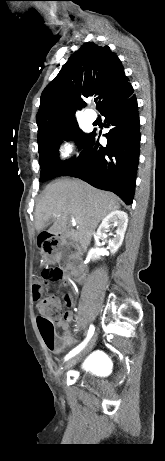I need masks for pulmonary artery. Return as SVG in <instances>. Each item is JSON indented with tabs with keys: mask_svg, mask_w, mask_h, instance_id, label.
<instances>
[{
	"mask_svg": "<svg viewBox=\"0 0 165 461\" xmlns=\"http://www.w3.org/2000/svg\"><path fill=\"white\" fill-rule=\"evenodd\" d=\"M84 118L88 122H94L96 120V114L94 112H85Z\"/></svg>",
	"mask_w": 165,
	"mask_h": 461,
	"instance_id": "obj_1",
	"label": "pulmonary artery"
}]
</instances>
